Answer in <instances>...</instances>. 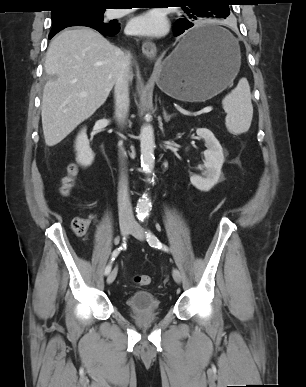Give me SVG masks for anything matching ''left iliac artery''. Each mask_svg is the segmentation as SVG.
Instances as JSON below:
<instances>
[{"label": "left iliac artery", "instance_id": "1", "mask_svg": "<svg viewBox=\"0 0 306 387\" xmlns=\"http://www.w3.org/2000/svg\"><path fill=\"white\" fill-rule=\"evenodd\" d=\"M146 238L151 247L162 249L166 252L169 251V248L166 245L162 244L150 230L146 232Z\"/></svg>", "mask_w": 306, "mask_h": 387}]
</instances>
